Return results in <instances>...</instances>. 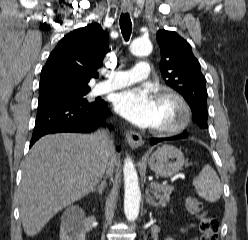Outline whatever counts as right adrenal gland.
I'll use <instances>...</instances> for the list:
<instances>
[{
	"label": "right adrenal gland",
	"mask_w": 248,
	"mask_h": 240,
	"mask_svg": "<svg viewBox=\"0 0 248 240\" xmlns=\"http://www.w3.org/2000/svg\"><path fill=\"white\" fill-rule=\"evenodd\" d=\"M105 187H106V181L103 180L95 189L92 190V192L94 193L97 191L100 195H102Z\"/></svg>",
	"instance_id": "1"
}]
</instances>
